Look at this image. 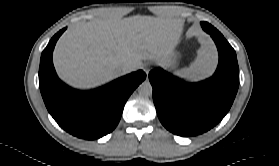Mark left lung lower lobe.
Wrapping results in <instances>:
<instances>
[{
  "label": "left lung lower lobe",
  "instance_id": "1",
  "mask_svg": "<svg viewBox=\"0 0 279 166\" xmlns=\"http://www.w3.org/2000/svg\"><path fill=\"white\" fill-rule=\"evenodd\" d=\"M201 26L219 51V66L214 76L186 83L160 69L149 73L160 122L170 132L184 137L202 134L218 124L232 106L239 86L235 50L208 22H201Z\"/></svg>",
  "mask_w": 279,
  "mask_h": 166
}]
</instances>
